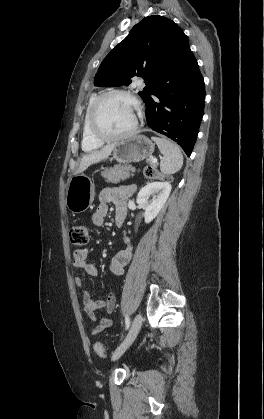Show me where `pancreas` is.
<instances>
[{"instance_id":"obj_1","label":"pancreas","mask_w":264,"mask_h":419,"mask_svg":"<svg viewBox=\"0 0 264 419\" xmlns=\"http://www.w3.org/2000/svg\"><path fill=\"white\" fill-rule=\"evenodd\" d=\"M147 162L151 166L156 167V164L151 159H148ZM130 172H135V168L128 165H115L114 167L105 169L101 175L107 183L117 184L121 180H126L130 175H133Z\"/></svg>"}]
</instances>
